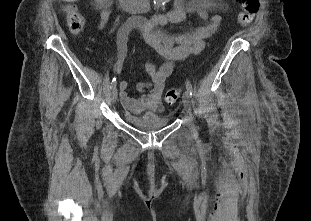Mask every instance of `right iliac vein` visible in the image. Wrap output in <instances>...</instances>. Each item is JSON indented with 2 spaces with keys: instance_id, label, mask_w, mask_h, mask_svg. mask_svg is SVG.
Here are the masks:
<instances>
[{
  "instance_id": "right-iliac-vein-1",
  "label": "right iliac vein",
  "mask_w": 311,
  "mask_h": 221,
  "mask_svg": "<svg viewBox=\"0 0 311 221\" xmlns=\"http://www.w3.org/2000/svg\"><path fill=\"white\" fill-rule=\"evenodd\" d=\"M118 91L116 87H113L110 92V100L112 103H115L117 100Z\"/></svg>"
}]
</instances>
